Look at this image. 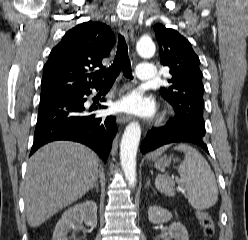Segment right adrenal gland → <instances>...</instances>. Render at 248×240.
Returning <instances> with one entry per match:
<instances>
[{
	"instance_id": "obj_1",
	"label": "right adrenal gland",
	"mask_w": 248,
	"mask_h": 240,
	"mask_svg": "<svg viewBox=\"0 0 248 240\" xmlns=\"http://www.w3.org/2000/svg\"><path fill=\"white\" fill-rule=\"evenodd\" d=\"M95 188L96 192L99 191V187H98V180L95 182L94 186L91 188V190Z\"/></svg>"
}]
</instances>
